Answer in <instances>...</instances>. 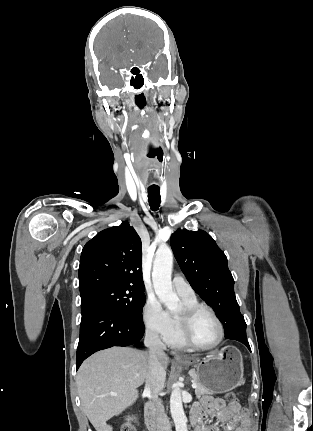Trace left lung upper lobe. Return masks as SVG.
Returning a JSON list of instances; mask_svg holds the SVG:
<instances>
[{
  "mask_svg": "<svg viewBox=\"0 0 313 431\" xmlns=\"http://www.w3.org/2000/svg\"><path fill=\"white\" fill-rule=\"evenodd\" d=\"M171 247L188 282L215 311L225 338L246 336V323L234 294V279L227 258L203 230L179 229L171 236Z\"/></svg>",
  "mask_w": 313,
  "mask_h": 431,
  "instance_id": "obj_1",
  "label": "left lung upper lobe"
}]
</instances>
